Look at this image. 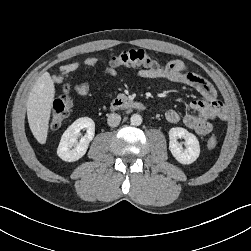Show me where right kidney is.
Returning <instances> with one entry per match:
<instances>
[{"label": "right kidney", "mask_w": 251, "mask_h": 251, "mask_svg": "<svg viewBox=\"0 0 251 251\" xmlns=\"http://www.w3.org/2000/svg\"><path fill=\"white\" fill-rule=\"evenodd\" d=\"M82 129L86 130V134L78 141ZM94 134L95 123L91 118L81 117L77 119L63 133L57 148L58 156L66 162L79 160L85 155Z\"/></svg>", "instance_id": "right-kidney-1"}]
</instances>
